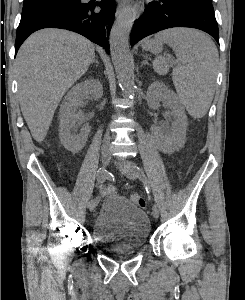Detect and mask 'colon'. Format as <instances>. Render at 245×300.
Wrapping results in <instances>:
<instances>
[{"label": "colon", "instance_id": "obj_1", "mask_svg": "<svg viewBox=\"0 0 245 300\" xmlns=\"http://www.w3.org/2000/svg\"><path fill=\"white\" fill-rule=\"evenodd\" d=\"M132 201L140 207L145 205V200L140 194H134L131 197Z\"/></svg>", "mask_w": 245, "mask_h": 300}]
</instances>
